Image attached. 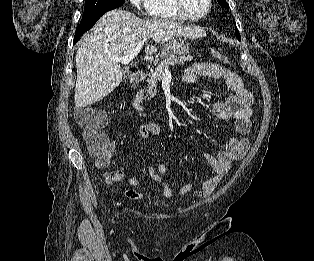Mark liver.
Listing matches in <instances>:
<instances>
[{
  "instance_id": "liver-1",
  "label": "liver",
  "mask_w": 314,
  "mask_h": 261,
  "mask_svg": "<svg viewBox=\"0 0 314 261\" xmlns=\"http://www.w3.org/2000/svg\"><path fill=\"white\" fill-rule=\"evenodd\" d=\"M203 33L169 20H142L129 11L115 9L104 14L86 35L76 53V107L104 99L122 81L119 62L112 57L130 53L141 41L152 38L163 44L176 37L198 38ZM148 45L145 53L156 52Z\"/></svg>"
}]
</instances>
